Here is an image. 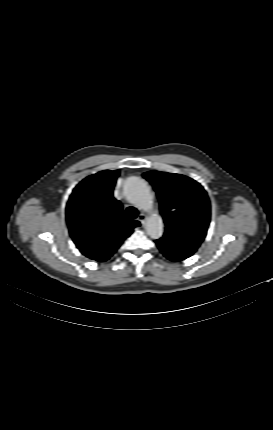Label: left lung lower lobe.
I'll return each instance as SVG.
<instances>
[{
	"label": "left lung lower lobe",
	"mask_w": 273,
	"mask_h": 430,
	"mask_svg": "<svg viewBox=\"0 0 273 430\" xmlns=\"http://www.w3.org/2000/svg\"><path fill=\"white\" fill-rule=\"evenodd\" d=\"M168 259L171 260V261L177 262V261L184 260L185 258L184 257H177V256H169Z\"/></svg>",
	"instance_id": "obj_1"
}]
</instances>
